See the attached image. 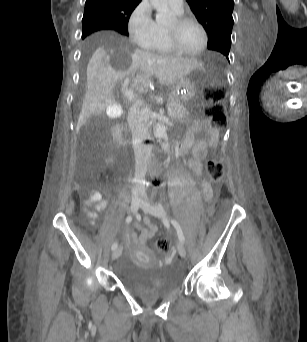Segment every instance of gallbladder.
<instances>
[{"label":"gallbladder","instance_id":"1","mask_svg":"<svg viewBox=\"0 0 307 342\" xmlns=\"http://www.w3.org/2000/svg\"><path fill=\"white\" fill-rule=\"evenodd\" d=\"M121 104L113 103L111 107L108 108V113L110 118H119L121 113Z\"/></svg>","mask_w":307,"mask_h":342}]
</instances>
